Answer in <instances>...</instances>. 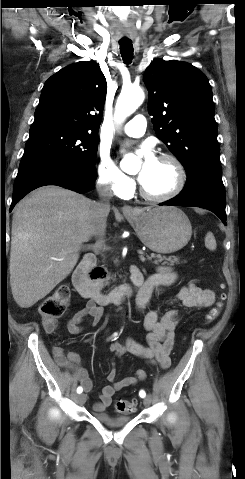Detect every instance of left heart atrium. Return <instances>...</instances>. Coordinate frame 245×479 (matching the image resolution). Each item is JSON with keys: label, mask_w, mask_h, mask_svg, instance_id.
Returning a JSON list of instances; mask_svg holds the SVG:
<instances>
[{"label": "left heart atrium", "mask_w": 245, "mask_h": 479, "mask_svg": "<svg viewBox=\"0 0 245 479\" xmlns=\"http://www.w3.org/2000/svg\"><path fill=\"white\" fill-rule=\"evenodd\" d=\"M141 152L143 154V163L138 176L140 183H142L147 178L150 170L153 168L157 160L149 147L143 146Z\"/></svg>", "instance_id": "39dd6f15"}]
</instances>
